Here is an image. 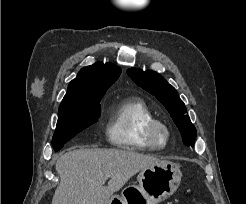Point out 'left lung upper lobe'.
<instances>
[{"label": "left lung upper lobe", "mask_w": 246, "mask_h": 204, "mask_svg": "<svg viewBox=\"0 0 246 204\" xmlns=\"http://www.w3.org/2000/svg\"><path fill=\"white\" fill-rule=\"evenodd\" d=\"M127 74L140 87L154 95L168 110L174 123L181 132L183 143L194 146L196 129L186 115V107L172 87L160 74L154 71H142L130 68Z\"/></svg>", "instance_id": "left-lung-upper-lobe-1"}]
</instances>
